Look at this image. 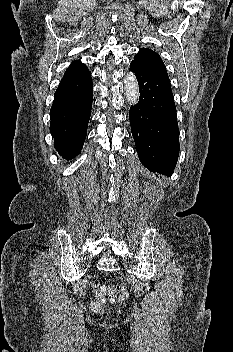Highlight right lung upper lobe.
Masks as SVG:
<instances>
[{
	"instance_id": "right-lung-upper-lobe-1",
	"label": "right lung upper lobe",
	"mask_w": 233,
	"mask_h": 352,
	"mask_svg": "<svg viewBox=\"0 0 233 352\" xmlns=\"http://www.w3.org/2000/svg\"><path fill=\"white\" fill-rule=\"evenodd\" d=\"M88 68L85 64L81 63L80 61H74L66 70L63 79L70 78L81 74L82 72L86 71Z\"/></svg>"
}]
</instances>
